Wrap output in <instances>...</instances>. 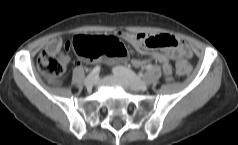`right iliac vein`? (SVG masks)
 <instances>
[{
	"instance_id": "right-iliac-vein-1",
	"label": "right iliac vein",
	"mask_w": 238,
	"mask_h": 145,
	"mask_svg": "<svg viewBox=\"0 0 238 145\" xmlns=\"http://www.w3.org/2000/svg\"><path fill=\"white\" fill-rule=\"evenodd\" d=\"M96 82V78L94 76H88L85 81H84V84L87 88H91L94 86Z\"/></svg>"
}]
</instances>
